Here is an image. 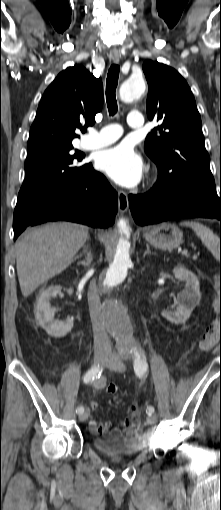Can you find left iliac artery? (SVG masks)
Listing matches in <instances>:
<instances>
[{"mask_svg":"<svg viewBox=\"0 0 221 510\" xmlns=\"http://www.w3.org/2000/svg\"><path fill=\"white\" fill-rule=\"evenodd\" d=\"M134 355H135V360H134V371L136 373L137 376H142L144 375V373L147 371V368H148V364H147V361H146V358L144 357V355L142 354L141 351H138L136 349H134ZM155 409L153 406H148L147 407V414L148 415H152L154 413Z\"/></svg>","mask_w":221,"mask_h":510,"instance_id":"44dca946","label":"left iliac artery"}]
</instances>
